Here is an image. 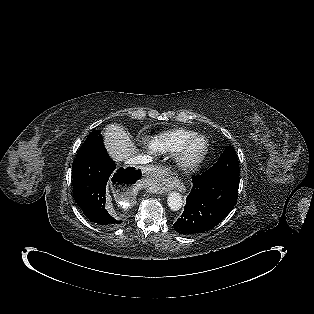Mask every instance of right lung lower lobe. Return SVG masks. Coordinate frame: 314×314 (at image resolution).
Listing matches in <instances>:
<instances>
[{
  "label": "right lung lower lobe",
  "instance_id": "right-lung-lower-lobe-1",
  "mask_svg": "<svg viewBox=\"0 0 314 314\" xmlns=\"http://www.w3.org/2000/svg\"><path fill=\"white\" fill-rule=\"evenodd\" d=\"M73 195L84 215L103 228H114L123 221L112 217L105 209L106 185L110 181L118 185L132 186L141 178L134 167L116 170L104 145L87 155L75 159L72 166Z\"/></svg>",
  "mask_w": 314,
  "mask_h": 314
}]
</instances>
